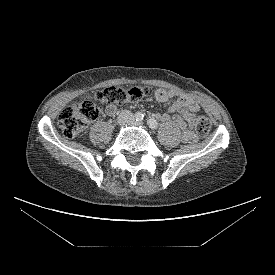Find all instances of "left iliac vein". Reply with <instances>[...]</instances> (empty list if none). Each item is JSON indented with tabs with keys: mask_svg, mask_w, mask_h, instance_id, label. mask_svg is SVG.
Segmentation results:
<instances>
[{
	"mask_svg": "<svg viewBox=\"0 0 275 275\" xmlns=\"http://www.w3.org/2000/svg\"><path fill=\"white\" fill-rule=\"evenodd\" d=\"M136 125H142V123H136Z\"/></svg>",
	"mask_w": 275,
	"mask_h": 275,
	"instance_id": "1",
	"label": "left iliac vein"
}]
</instances>
